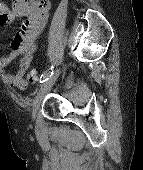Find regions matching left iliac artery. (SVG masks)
I'll list each match as a JSON object with an SVG mask.
<instances>
[{"mask_svg":"<svg viewBox=\"0 0 143 170\" xmlns=\"http://www.w3.org/2000/svg\"><path fill=\"white\" fill-rule=\"evenodd\" d=\"M53 66H51L47 71L41 75L40 83H44L53 75Z\"/></svg>","mask_w":143,"mask_h":170,"instance_id":"1","label":"left iliac artery"}]
</instances>
